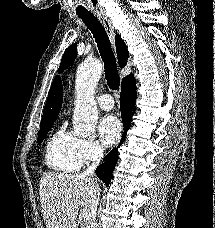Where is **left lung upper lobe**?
<instances>
[{"label":"left lung upper lobe","mask_w":215,"mask_h":228,"mask_svg":"<svg viewBox=\"0 0 215 228\" xmlns=\"http://www.w3.org/2000/svg\"><path fill=\"white\" fill-rule=\"evenodd\" d=\"M76 56H77V45L72 44L64 52L59 70L62 71L68 68L72 64Z\"/></svg>","instance_id":"1"}]
</instances>
